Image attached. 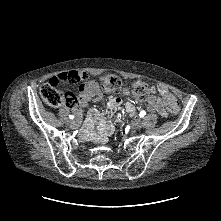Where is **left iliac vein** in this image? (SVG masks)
Returning <instances> with one entry per match:
<instances>
[{
    "label": "left iliac vein",
    "mask_w": 221,
    "mask_h": 221,
    "mask_svg": "<svg viewBox=\"0 0 221 221\" xmlns=\"http://www.w3.org/2000/svg\"><path fill=\"white\" fill-rule=\"evenodd\" d=\"M132 127H133L134 130L140 129V128L142 127L141 121H140L139 119L136 120V121L133 123Z\"/></svg>",
    "instance_id": "left-iliac-vein-1"
}]
</instances>
